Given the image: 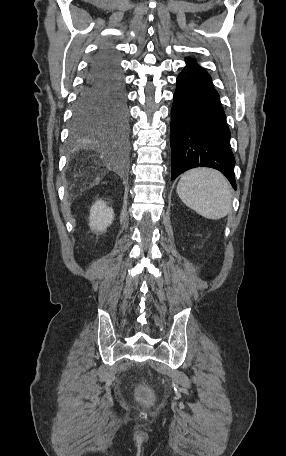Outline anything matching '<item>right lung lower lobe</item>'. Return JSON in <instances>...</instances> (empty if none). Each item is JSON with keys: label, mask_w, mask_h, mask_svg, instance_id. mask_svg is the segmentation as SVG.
I'll return each mask as SVG.
<instances>
[{"label": "right lung lower lobe", "mask_w": 286, "mask_h": 456, "mask_svg": "<svg viewBox=\"0 0 286 456\" xmlns=\"http://www.w3.org/2000/svg\"><path fill=\"white\" fill-rule=\"evenodd\" d=\"M128 120L121 69L115 57L109 51L102 50L90 63L84 86L79 92L74 108L72 128L79 132L92 124L108 127L126 124L129 129ZM108 131L122 137L112 129Z\"/></svg>", "instance_id": "right-lung-lower-lobe-1"}]
</instances>
